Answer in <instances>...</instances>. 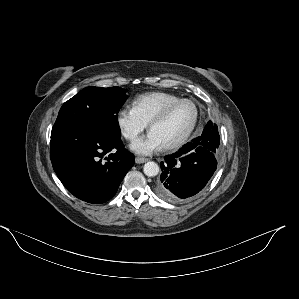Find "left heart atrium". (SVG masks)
Returning a JSON list of instances; mask_svg holds the SVG:
<instances>
[{
	"label": "left heart atrium",
	"instance_id": "1",
	"mask_svg": "<svg viewBox=\"0 0 299 299\" xmlns=\"http://www.w3.org/2000/svg\"><path fill=\"white\" fill-rule=\"evenodd\" d=\"M162 147L163 145L160 142V140L151 131L146 136L136 140L131 145V149L134 152L143 155H148L157 152L161 150Z\"/></svg>",
	"mask_w": 299,
	"mask_h": 299
}]
</instances>
